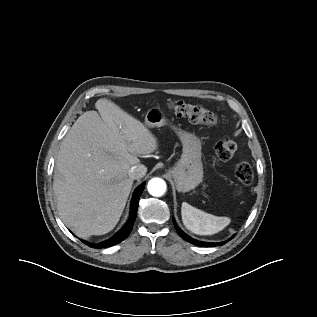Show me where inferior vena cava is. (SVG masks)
<instances>
[{
  "mask_svg": "<svg viewBox=\"0 0 317 317\" xmlns=\"http://www.w3.org/2000/svg\"><path fill=\"white\" fill-rule=\"evenodd\" d=\"M146 172L147 168L142 164H138L130 168L128 175L131 179H140L145 176Z\"/></svg>",
  "mask_w": 317,
  "mask_h": 317,
  "instance_id": "inferior-vena-cava-1",
  "label": "inferior vena cava"
}]
</instances>
